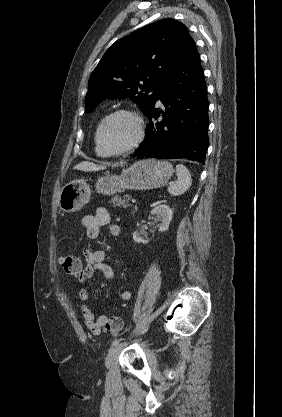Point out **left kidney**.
I'll list each match as a JSON object with an SVG mask.
<instances>
[{"label": "left kidney", "mask_w": 282, "mask_h": 417, "mask_svg": "<svg viewBox=\"0 0 282 417\" xmlns=\"http://www.w3.org/2000/svg\"><path fill=\"white\" fill-rule=\"evenodd\" d=\"M150 215H157V217H160L161 223L159 225V231H167L173 217V211L168 204H157L155 209H152ZM133 241H135V243L147 245L150 239H142V237H138V233H133Z\"/></svg>", "instance_id": "1"}]
</instances>
